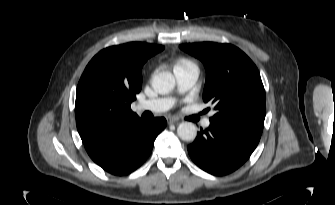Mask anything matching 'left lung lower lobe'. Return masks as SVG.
I'll list each match as a JSON object with an SVG mask.
<instances>
[{"instance_id":"0a47b994","label":"left lung lower lobe","mask_w":335,"mask_h":205,"mask_svg":"<svg viewBox=\"0 0 335 205\" xmlns=\"http://www.w3.org/2000/svg\"><path fill=\"white\" fill-rule=\"evenodd\" d=\"M261 134L210 119V126L198 133L188 146L192 160L213 175H226L238 169L257 147Z\"/></svg>"}]
</instances>
